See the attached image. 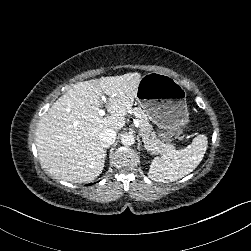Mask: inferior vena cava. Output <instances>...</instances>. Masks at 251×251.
Wrapping results in <instances>:
<instances>
[{"label": "inferior vena cava", "mask_w": 251, "mask_h": 251, "mask_svg": "<svg viewBox=\"0 0 251 251\" xmlns=\"http://www.w3.org/2000/svg\"><path fill=\"white\" fill-rule=\"evenodd\" d=\"M116 132L112 129H105L99 135L102 147H109L115 142Z\"/></svg>", "instance_id": "1"}]
</instances>
